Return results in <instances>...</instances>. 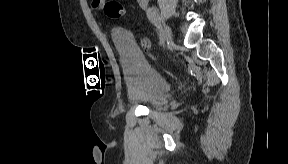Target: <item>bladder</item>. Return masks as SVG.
<instances>
[{"label":"bladder","mask_w":288,"mask_h":164,"mask_svg":"<svg viewBox=\"0 0 288 164\" xmlns=\"http://www.w3.org/2000/svg\"><path fill=\"white\" fill-rule=\"evenodd\" d=\"M115 44L127 76L129 99L149 109H157L170 100V84L162 71L149 64L136 46L123 34Z\"/></svg>","instance_id":"31cf9c89"}]
</instances>
